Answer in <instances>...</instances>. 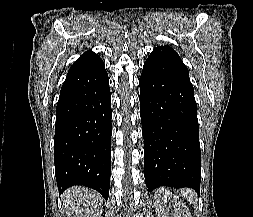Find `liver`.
I'll list each match as a JSON object with an SVG mask.
<instances>
[{
	"label": "liver",
	"mask_w": 253,
	"mask_h": 217,
	"mask_svg": "<svg viewBox=\"0 0 253 217\" xmlns=\"http://www.w3.org/2000/svg\"><path fill=\"white\" fill-rule=\"evenodd\" d=\"M62 202L73 217H100L102 197L95 191L81 186H74L62 195Z\"/></svg>",
	"instance_id": "obj_1"
}]
</instances>
